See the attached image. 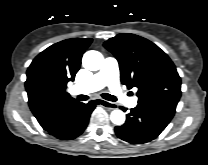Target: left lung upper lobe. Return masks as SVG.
<instances>
[{"label":"left lung upper lobe","mask_w":208,"mask_h":165,"mask_svg":"<svg viewBox=\"0 0 208 165\" xmlns=\"http://www.w3.org/2000/svg\"><path fill=\"white\" fill-rule=\"evenodd\" d=\"M104 47L118 60L121 82L128 88H138V105L177 106L181 79L158 46L143 37L122 33L106 41Z\"/></svg>","instance_id":"left-lung-upper-lobe-1"}]
</instances>
